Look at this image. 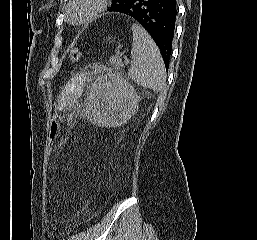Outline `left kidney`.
<instances>
[{"instance_id":"5707ae66","label":"left kidney","mask_w":257,"mask_h":240,"mask_svg":"<svg viewBox=\"0 0 257 240\" xmlns=\"http://www.w3.org/2000/svg\"><path fill=\"white\" fill-rule=\"evenodd\" d=\"M139 96L118 73L99 78L91 91L89 120L102 127H119L137 111Z\"/></svg>"}]
</instances>
